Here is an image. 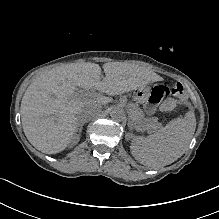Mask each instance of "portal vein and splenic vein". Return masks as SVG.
<instances>
[{
	"mask_svg": "<svg viewBox=\"0 0 219 219\" xmlns=\"http://www.w3.org/2000/svg\"><path fill=\"white\" fill-rule=\"evenodd\" d=\"M89 95H90V93H77V94H75V97H77V98L81 97V99H82V97H87Z\"/></svg>",
	"mask_w": 219,
	"mask_h": 219,
	"instance_id": "1",
	"label": "portal vein and splenic vein"
}]
</instances>
